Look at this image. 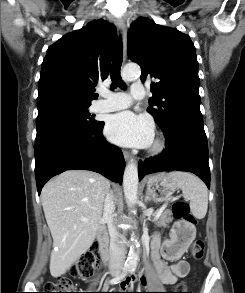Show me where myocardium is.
Masks as SVG:
<instances>
[{"mask_svg": "<svg viewBox=\"0 0 245 293\" xmlns=\"http://www.w3.org/2000/svg\"><path fill=\"white\" fill-rule=\"evenodd\" d=\"M165 147V142L161 138H157L153 141L151 147H150V152L151 153H160Z\"/></svg>", "mask_w": 245, "mask_h": 293, "instance_id": "myocardium-1", "label": "myocardium"}]
</instances>
